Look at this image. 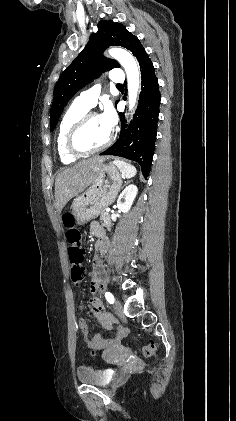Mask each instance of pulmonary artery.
Listing matches in <instances>:
<instances>
[{"label":"pulmonary artery","instance_id":"1","mask_svg":"<svg viewBox=\"0 0 236 421\" xmlns=\"http://www.w3.org/2000/svg\"><path fill=\"white\" fill-rule=\"evenodd\" d=\"M124 80V71L122 69H113L109 71V81L111 82V86H121ZM100 88L101 86L98 84L95 87L83 92L76 98L75 102L86 110L93 108L97 103Z\"/></svg>","mask_w":236,"mask_h":421}]
</instances>
